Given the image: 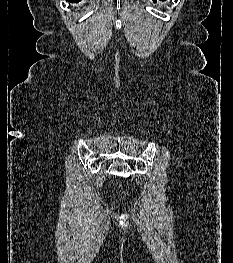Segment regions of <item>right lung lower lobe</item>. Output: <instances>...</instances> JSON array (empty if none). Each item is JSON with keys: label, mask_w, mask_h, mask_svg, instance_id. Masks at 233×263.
Segmentation results:
<instances>
[{"label": "right lung lower lobe", "mask_w": 233, "mask_h": 263, "mask_svg": "<svg viewBox=\"0 0 233 263\" xmlns=\"http://www.w3.org/2000/svg\"><path fill=\"white\" fill-rule=\"evenodd\" d=\"M69 2H79L80 0H68Z\"/></svg>", "instance_id": "1"}]
</instances>
